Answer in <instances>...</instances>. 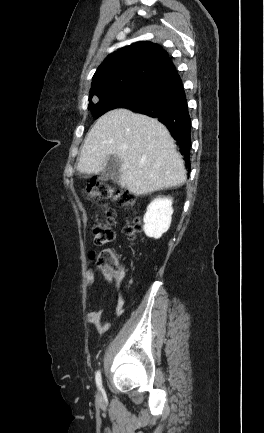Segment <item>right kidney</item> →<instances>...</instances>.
Instances as JSON below:
<instances>
[{
	"label": "right kidney",
	"instance_id": "right-kidney-1",
	"mask_svg": "<svg viewBox=\"0 0 264 433\" xmlns=\"http://www.w3.org/2000/svg\"><path fill=\"white\" fill-rule=\"evenodd\" d=\"M173 214L170 197L155 198L144 215V232L148 237L160 238L170 227Z\"/></svg>",
	"mask_w": 264,
	"mask_h": 433
}]
</instances>
